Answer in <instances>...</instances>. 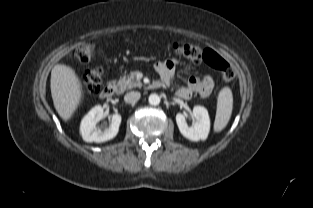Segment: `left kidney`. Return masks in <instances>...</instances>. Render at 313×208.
Returning a JSON list of instances; mask_svg holds the SVG:
<instances>
[{
    "label": "left kidney",
    "mask_w": 313,
    "mask_h": 208,
    "mask_svg": "<svg viewBox=\"0 0 313 208\" xmlns=\"http://www.w3.org/2000/svg\"><path fill=\"white\" fill-rule=\"evenodd\" d=\"M195 123L188 126L185 116L181 113L176 115V122L181 134L191 141L206 140L210 130V118L206 108L195 106L193 108Z\"/></svg>",
    "instance_id": "1"
}]
</instances>
